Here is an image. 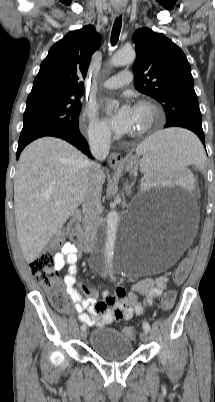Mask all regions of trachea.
<instances>
[{
	"mask_svg": "<svg viewBox=\"0 0 215 402\" xmlns=\"http://www.w3.org/2000/svg\"><path fill=\"white\" fill-rule=\"evenodd\" d=\"M121 27H122V17L119 16L118 18L115 19V22H114V25L112 28V33H111L112 45H115L118 42Z\"/></svg>",
	"mask_w": 215,
	"mask_h": 402,
	"instance_id": "trachea-1",
	"label": "trachea"
}]
</instances>
